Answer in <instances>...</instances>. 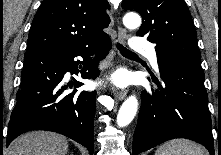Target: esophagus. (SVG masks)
<instances>
[{
	"mask_svg": "<svg viewBox=\"0 0 221 155\" xmlns=\"http://www.w3.org/2000/svg\"><path fill=\"white\" fill-rule=\"evenodd\" d=\"M127 39V31L126 29L118 26V41L122 44L126 42ZM126 90H114V96L118 100H123L126 97Z\"/></svg>",
	"mask_w": 221,
	"mask_h": 155,
	"instance_id": "esophagus-1",
	"label": "esophagus"
}]
</instances>
